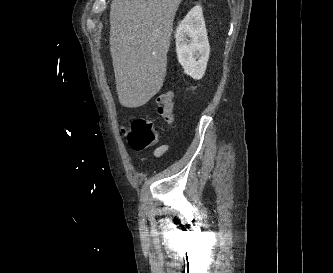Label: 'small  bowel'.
<instances>
[{
	"label": "small bowel",
	"instance_id": "c3829d8e",
	"mask_svg": "<svg viewBox=\"0 0 333 273\" xmlns=\"http://www.w3.org/2000/svg\"><path fill=\"white\" fill-rule=\"evenodd\" d=\"M169 148H170L169 144H162V145L158 146L154 150V156L156 158H160L162 155H164L169 150Z\"/></svg>",
	"mask_w": 333,
	"mask_h": 273
}]
</instances>
